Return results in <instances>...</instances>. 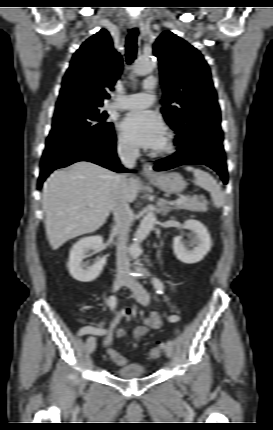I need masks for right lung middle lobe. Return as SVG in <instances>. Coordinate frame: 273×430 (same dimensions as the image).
<instances>
[{
    "instance_id": "obj_1",
    "label": "right lung middle lobe",
    "mask_w": 273,
    "mask_h": 430,
    "mask_svg": "<svg viewBox=\"0 0 273 430\" xmlns=\"http://www.w3.org/2000/svg\"><path fill=\"white\" fill-rule=\"evenodd\" d=\"M101 106L73 101L56 107L52 130L44 154L91 141L106 142L114 136L113 124L106 123Z\"/></svg>"
}]
</instances>
